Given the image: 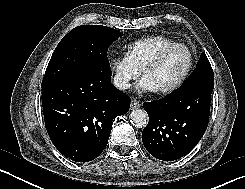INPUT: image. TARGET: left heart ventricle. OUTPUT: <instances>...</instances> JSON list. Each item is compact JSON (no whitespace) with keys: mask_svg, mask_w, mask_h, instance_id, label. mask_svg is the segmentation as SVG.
<instances>
[{"mask_svg":"<svg viewBox=\"0 0 245 189\" xmlns=\"http://www.w3.org/2000/svg\"><path fill=\"white\" fill-rule=\"evenodd\" d=\"M189 56L185 49L176 48L168 52L162 61L149 70L144 78L155 91L168 87L180 78L186 70Z\"/></svg>","mask_w":245,"mask_h":189,"instance_id":"left-heart-ventricle-1","label":"left heart ventricle"}]
</instances>
